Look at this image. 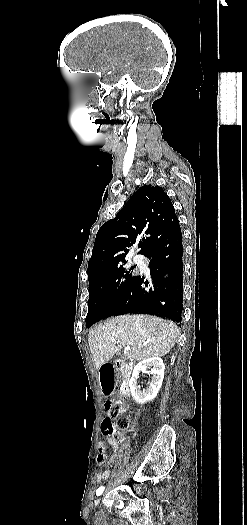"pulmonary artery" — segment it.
<instances>
[{"mask_svg": "<svg viewBox=\"0 0 247 525\" xmlns=\"http://www.w3.org/2000/svg\"><path fill=\"white\" fill-rule=\"evenodd\" d=\"M131 261H144L140 255H135L131 258Z\"/></svg>", "mask_w": 247, "mask_h": 525, "instance_id": "pulmonary-artery-1", "label": "pulmonary artery"}]
</instances>
